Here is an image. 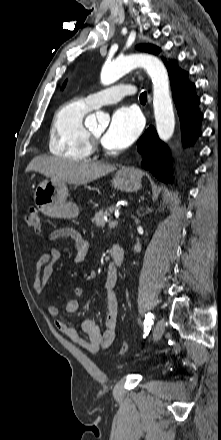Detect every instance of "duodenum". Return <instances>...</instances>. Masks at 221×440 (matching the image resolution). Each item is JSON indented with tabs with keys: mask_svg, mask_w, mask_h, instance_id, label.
<instances>
[{
	"mask_svg": "<svg viewBox=\"0 0 221 440\" xmlns=\"http://www.w3.org/2000/svg\"><path fill=\"white\" fill-rule=\"evenodd\" d=\"M110 252L113 260L111 267L116 271L124 262V250L120 245L115 244L111 247Z\"/></svg>",
	"mask_w": 221,
	"mask_h": 440,
	"instance_id": "1",
	"label": "duodenum"
}]
</instances>
